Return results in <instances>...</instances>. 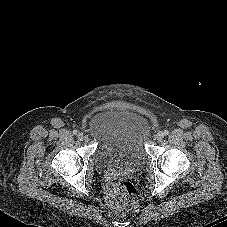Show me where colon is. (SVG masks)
I'll return each mask as SVG.
<instances>
[{"mask_svg":"<svg viewBox=\"0 0 227 227\" xmlns=\"http://www.w3.org/2000/svg\"><path fill=\"white\" fill-rule=\"evenodd\" d=\"M105 201L115 213L127 215L137 206L136 188L126 178L113 177L105 186Z\"/></svg>","mask_w":227,"mask_h":227,"instance_id":"1","label":"colon"}]
</instances>
